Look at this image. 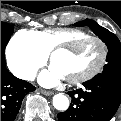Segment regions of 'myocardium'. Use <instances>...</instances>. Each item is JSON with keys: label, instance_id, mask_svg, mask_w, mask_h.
I'll return each instance as SVG.
<instances>
[{"label": "myocardium", "instance_id": "1", "mask_svg": "<svg viewBox=\"0 0 121 121\" xmlns=\"http://www.w3.org/2000/svg\"><path fill=\"white\" fill-rule=\"evenodd\" d=\"M88 42H96L99 44V46L101 47L100 60L98 64L95 67H93L91 70H89L88 72L82 75H79L77 77L67 78L66 81L70 84L84 83L96 77L98 74L102 72V70L104 69L107 63L108 54H109V48H108L106 41L99 36H86V37L76 40L72 44L56 46L49 53V62L51 63L53 57L57 53L63 52L69 55H73L76 49L84 46Z\"/></svg>", "mask_w": 121, "mask_h": 121}]
</instances>
